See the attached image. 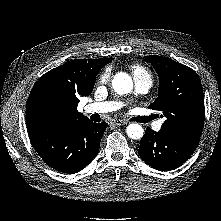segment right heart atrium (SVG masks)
Wrapping results in <instances>:
<instances>
[{
	"mask_svg": "<svg viewBox=\"0 0 221 221\" xmlns=\"http://www.w3.org/2000/svg\"><path fill=\"white\" fill-rule=\"evenodd\" d=\"M110 71L108 69L104 70L99 76V83L104 84L109 80Z\"/></svg>",
	"mask_w": 221,
	"mask_h": 221,
	"instance_id": "obj_1",
	"label": "right heart atrium"
}]
</instances>
